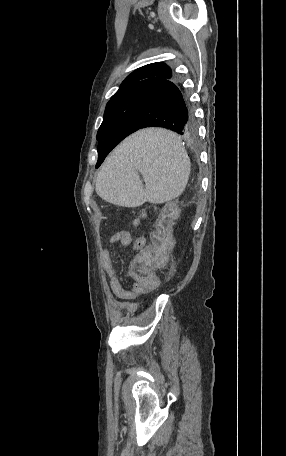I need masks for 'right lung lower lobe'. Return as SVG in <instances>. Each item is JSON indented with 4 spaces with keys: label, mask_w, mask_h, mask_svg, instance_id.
<instances>
[{
    "label": "right lung lower lobe",
    "mask_w": 286,
    "mask_h": 456,
    "mask_svg": "<svg viewBox=\"0 0 286 456\" xmlns=\"http://www.w3.org/2000/svg\"><path fill=\"white\" fill-rule=\"evenodd\" d=\"M128 108L132 133L143 127L157 126L189 135L195 129L188 100L171 81L152 83L123 97Z\"/></svg>",
    "instance_id": "right-lung-lower-lobe-1"
}]
</instances>
